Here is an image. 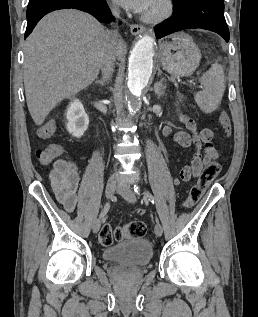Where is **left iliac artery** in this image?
Here are the masks:
<instances>
[{"label":"left iliac artery","mask_w":258,"mask_h":317,"mask_svg":"<svg viewBox=\"0 0 258 317\" xmlns=\"http://www.w3.org/2000/svg\"><path fill=\"white\" fill-rule=\"evenodd\" d=\"M133 190L137 195H140V187L137 184L133 186ZM144 197L147 198L149 202H151L153 205L155 204V199L153 195L150 194L148 191L144 192Z\"/></svg>","instance_id":"left-iliac-artery-1"}]
</instances>
